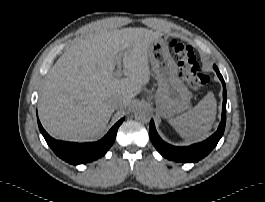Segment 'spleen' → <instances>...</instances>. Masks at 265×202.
<instances>
[{"label": "spleen", "instance_id": "3e777b00", "mask_svg": "<svg viewBox=\"0 0 265 202\" xmlns=\"http://www.w3.org/2000/svg\"><path fill=\"white\" fill-rule=\"evenodd\" d=\"M216 100L208 93L188 112L169 119V123L186 140H203L208 134L216 117Z\"/></svg>", "mask_w": 265, "mask_h": 202}]
</instances>
